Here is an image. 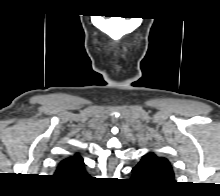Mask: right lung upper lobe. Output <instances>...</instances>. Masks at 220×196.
Returning <instances> with one entry per match:
<instances>
[{
	"label": "right lung upper lobe",
	"mask_w": 220,
	"mask_h": 196,
	"mask_svg": "<svg viewBox=\"0 0 220 196\" xmlns=\"http://www.w3.org/2000/svg\"><path fill=\"white\" fill-rule=\"evenodd\" d=\"M56 177L63 179H83L87 176L81 156L75 154L62 160L56 170Z\"/></svg>",
	"instance_id": "1"
}]
</instances>
